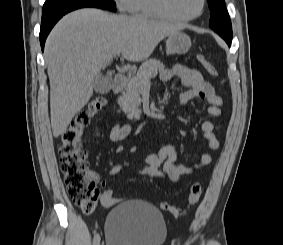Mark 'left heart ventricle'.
<instances>
[{
	"label": "left heart ventricle",
	"instance_id": "1",
	"mask_svg": "<svg viewBox=\"0 0 283 245\" xmlns=\"http://www.w3.org/2000/svg\"><path fill=\"white\" fill-rule=\"evenodd\" d=\"M171 11L180 17L195 15L201 6V0H169Z\"/></svg>",
	"mask_w": 283,
	"mask_h": 245
}]
</instances>
